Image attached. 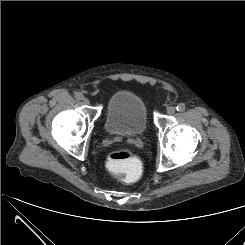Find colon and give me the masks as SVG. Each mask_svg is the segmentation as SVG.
Here are the masks:
<instances>
[{"label":"colon","instance_id":"1","mask_svg":"<svg viewBox=\"0 0 245 245\" xmlns=\"http://www.w3.org/2000/svg\"><path fill=\"white\" fill-rule=\"evenodd\" d=\"M106 164L109 169L124 173L126 183L131 184L138 180L140 162L128 150L117 149L111 152L107 157Z\"/></svg>","mask_w":245,"mask_h":245}]
</instances>
